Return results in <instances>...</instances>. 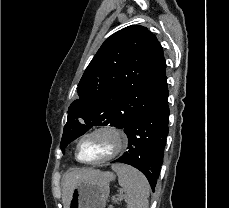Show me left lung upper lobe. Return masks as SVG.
<instances>
[{"instance_id":"5c2ea615","label":"left lung upper lobe","mask_w":229,"mask_h":208,"mask_svg":"<svg viewBox=\"0 0 229 208\" xmlns=\"http://www.w3.org/2000/svg\"><path fill=\"white\" fill-rule=\"evenodd\" d=\"M166 62L155 35L132 25L104 41L77 88L79 98L68 108L60 148L92 126L126 128L167 89Z\"/></svg>"}]
</instances>
